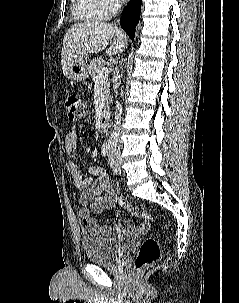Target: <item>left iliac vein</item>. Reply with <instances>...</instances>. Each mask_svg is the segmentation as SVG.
Segmentation results:
<instances>
[{"label": "left iliac vein", "instance_id": "4c4485c4", "mask_svg": "<svg viewBox=\"0 0 239 303\" xmlns=\"http://www.w3.org/2000/svg\"><path fill=\"white\" fill-rule=\"evenodd\" d=\"M110 159V166L114 174L118 175L121 173V167H120V159L119 158H113L111 155L109 156Z\"/></svg>", "mask_w": 239, "mask_h": 303}]
</instances>
